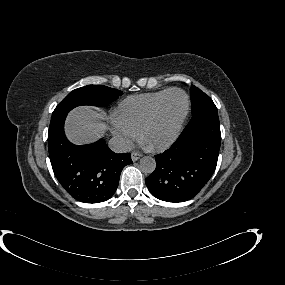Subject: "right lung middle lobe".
Masks as SVG:
<instances>
[{
    "instance_id": "1",
    "label": "right lung middle lobe",
    "mask_w": 285,
    "mask_h": 285,
    "mask_svg": "<svg viewBox=\"0 0 285 285\" xmlns=\"http://www.w3.org/2000/svg\"><path fill=\"white\" fill-rule=\"evenodd\" d=\"M123 93L103 85H88L70 92L55 108L52 119L81 105L107 106Z\"/></svg>"
}]
</instances>
